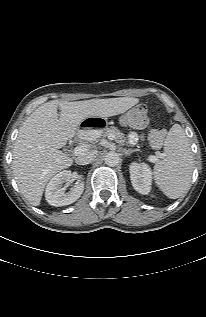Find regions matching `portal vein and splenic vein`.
<instances>
[{"label":"portal vein and splenic vein","mask_w":206,"mask_h":317,"mask_svg":"<svg viewBox=\"0 0 206 317\" xmlns=\"http://www.w3.org/2000/svg\"><path fill=\"white\" fill-rule=\"evenodd\" d=\"M108 139L109 140H114V136L113 135H109L108 136ZM86 151V148H84V147H82V146H77V147H75V149H74V154L75 155H80V154H82L83 152H85ZM163 156V154H161V153H159L157 156H154V155H150L149 157H148V160L150 161V162H156L157 160H158V158H161Z\"/></svg>","instance_id":"obj_1"}]
</instances>
